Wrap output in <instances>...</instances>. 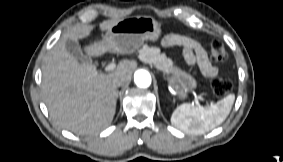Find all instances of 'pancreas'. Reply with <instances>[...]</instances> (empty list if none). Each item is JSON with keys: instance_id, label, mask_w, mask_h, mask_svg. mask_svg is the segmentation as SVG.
Masks as SVG:
<instances>
[{"instance_id": "1", "label": "pancreas", "mask_w": 283, "mask_h": 162, "mask_svg": "<svg viewBox=\"0 0 283 162\" xmlns=\"http://www.w3.org/2000/svg\"><path fill=\"white\" fill-rule=\"evenodd\" d=\"M139 58L146 63L154 64L155 67L162 70L164 74L171 72L170 62L166 56L160 54L156 48H150L148 46L143 47V49L139 51Z\"/></svg>"}]
</instances>
